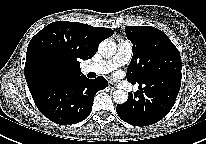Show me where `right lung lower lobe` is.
<instances>
[{
	"mask_svg": "<svg viewBox=\"0 0 206 144\" xmlns=\"http://www.w3.org/2000/svg\"><path fill=\"white\" fill-rule=\"evenodd\" d=\"M107 85V80L102 76L94 80L82 76L72 81L46 83L30 93L40 112L48 119L70 125L89 116L95 94Z\"/></svg>",
	"mask_w": 206,
	"mask_h": 144,
	"instance_id": "1",
	"label": "right lung lower lobe"
}]
</instances>
